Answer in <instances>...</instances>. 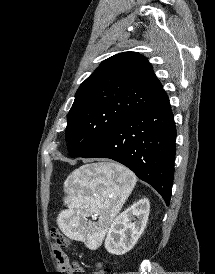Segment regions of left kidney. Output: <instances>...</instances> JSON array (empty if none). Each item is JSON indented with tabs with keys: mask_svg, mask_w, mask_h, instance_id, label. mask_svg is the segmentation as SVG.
<instances>
[{
	"mask_svg": "<svg viewBox=\"0 0 215 274\" xmlns=\"http://www.w3.org/2000/svg\"><path fill=\"white\" fill-rule=\"evenodd\" d=\"M149 210V200L143 198L118 215L107 233L106 250L115 255L130 251L146 227Z\"/></svg>",
	"mask_w": 215,
	"mask_h": 274,
	"instance_id": "obj_1",
	"label": "left kidney"
}]
</instances>
